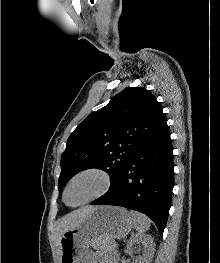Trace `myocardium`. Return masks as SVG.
<instances>
[{"instance_id":"1","label":"myocardium","mask_w":220,"mask_h":263,"mask_svg":"<svg viewBox=\"0 0 220 263\" xmlns=\"http://www.w3.org/2000/svg\"><path fill=\"white\" fill-rule=\"evenodd\" d=\"M85 175H94V176L99 177L101 180V187L99 188V190L96 193L85 198L84 200H81V201L74 203V204L68 203L66 197H67V193H68L69 188L78 178L85 176ZM111 186H112V176L107 170L100 168V167L84 168V169L76 172L66 183L64 191H63V201L66 205H68L70 207L81 206V205L90 203L92 201H95V200L99 199L100 197L104 196L110 190Z\"/></svg>"}]
</instances>
